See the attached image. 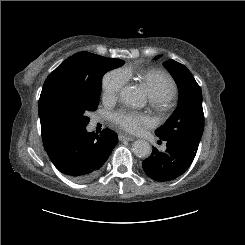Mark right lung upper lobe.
<instances>
[{
	"label": "right lung upper lobe",
	"mask_w": 245,
	"mask_h": 245,
	"mask_svg": "<svg viewBox=\"0 0 245 245\" xmlns=\"http://www.w3.org/2000/svg\"><path fill=\"white\" fill-rule=\"evenodd\" d=\"M85 54L86 52H80L66 59L47 77L45 83L55 78H65L70 82L87 83L89 81V74L82 64V57ZM41 130L44 147H47L54 140L59 138L58 136L48 133L42 125Z\"/></svg>",
	"instance_id": "obj_1"
}]
</instances>
